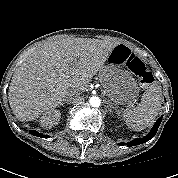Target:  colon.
<instances>
[{
  "label": "colon",
  "mask_w": 178,
  "mask_h": 178,
  "mask_svg": "<svg viewBox=\"0 0 178 178\" xmlns=\"http://www.w3.org/2000/svg\"><path fill=\"white\" fill-rule=\"evenodd\" d=\"M130 69L137 75L139 81L143 85H149L153 82V77L144 63L138 58H134L130 65Z\"/></svg>",
  "instance_id": "1"
}]
</instances>
